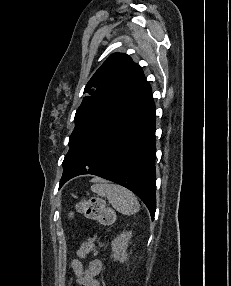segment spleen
Returning a JSON list of instances; mask_svg holds the SVG:
<instances>
[{"instance_id": "3e777b00", "label": "spleen", "mask_w": 231, "mask_h": 286, "mask_svg": "<svg viewBox=\"0 0 231 286\" xmlns=\"http://www.w3.org/2000/svg\"><path fill=\"white\" fill-rule=\"evenodd\" d=\"M91 191L106 197L109 203L121 214L131 215L140 210L137 197L130 190L106 181H100L91 186Z\"/></svg>"}]
</instances>
